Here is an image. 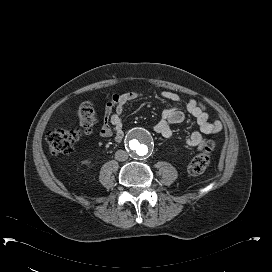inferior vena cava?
I'll return each mask as SVG.
<instances>
[{
  "label": "inferior vena cava",
  "mask_w": 272,
  "mask_h": 272,
  "mask_svg": "<svg viewBox=\"0 0 272 272\" xmlns=\"http://www.w3.org/2000/svg\"><path fill=\"white\" fill-rule=\"evenodd\" d=\"M115 159L118 161H126L128 159V153L124 150H118L115 153Z\"/></svg>",
  "instance_id": "1"
}]
</instances>
